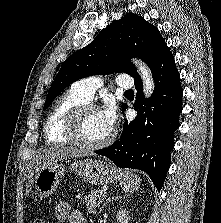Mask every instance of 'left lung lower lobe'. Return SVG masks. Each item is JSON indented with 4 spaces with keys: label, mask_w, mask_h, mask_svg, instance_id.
I'll return each mask as SVG.
<instances>
[{
    "label": "left lung lower lobe",
    "mask_w": 221,
    "mask_h": 223,
    "mask_svg": "<svg viewBox=\"0 0 221 223\" xmlns=\"http://www.w3.org/2000/svg\"><path fill=\"white\" fill-rule=\"evenodd\" d=\"M152 74L155 88L151 98L143 104L142 81L135 82L137 117L124 122L119 140L95 153L106 156L117 167L146 172L159 191L170 167L173 134L182 112L180 75L169 48L153 67Z\"/></svg>",
    "instance_id": "obj_1"
}]
</instances>
